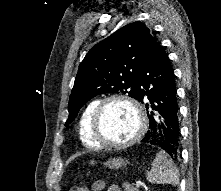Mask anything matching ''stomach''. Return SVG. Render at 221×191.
<instances>
[{"label": "stomach", "mask_w": 221, "mask_h": 191, "mask_svg": "<svg viewBox=\"0 0 221 191\" xmlns=\"http://www.w3.org/2000/svg\"><path fill=\"white\" fill-rule=\"evenodd\" d=\"M128 163L127 160H124L122 158H113L108 160L105 165L109 168H120L122 166H125Z\"/></svg>", "instance_id": "0dacf381"}]
</instances>
